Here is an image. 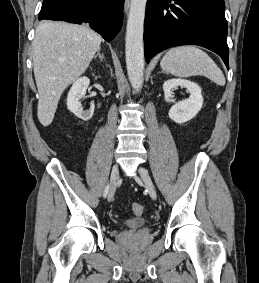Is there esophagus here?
<instances>
[{"label": "esophagus", "instance_id": "esophagus-1", "mask_svg": "<svg viewBox=\"0 0 259 283\" xmlns=\"http://www.w3.org/2000/svg\"><path fill=\"white\" fill-rule=\"evenodd\" d=\"M129 6H130V0H125V3H124V10H125V12L128 11Z\"/></svg>", "mask_w": 259, "mask_h": 283}]
</instances>
